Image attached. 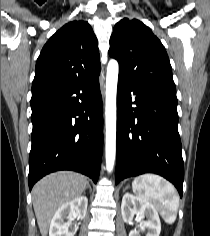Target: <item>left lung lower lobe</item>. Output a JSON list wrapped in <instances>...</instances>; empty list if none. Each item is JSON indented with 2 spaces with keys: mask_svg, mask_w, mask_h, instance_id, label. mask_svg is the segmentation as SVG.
Instances as JSON below:
<instances>
[{
  "mask_svg": "<svg viewBox=\"0 0 210 236\" xmlns=\"http://www.w3.org/2000/svg\"><path fill=\"white\" fill-rule=\"evenodd\" d=\"M116 147V184L127 177L155 173L172 182L182 197L184 164L176 91L135 86L119 78Z\"/></svg>",
  "mask_w": 210,
  "mask_h": 236,
  "instance_id": "left-lung-lower-lobe-1",
  "label": "left lung lower lobe"
}]
</instances>
